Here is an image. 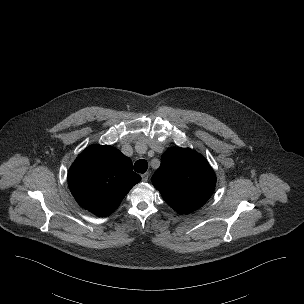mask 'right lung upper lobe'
<instances>
[{
    "mask_svg": "<svg viewBox=\"0 0 304 304\" xmlns=\"http://www.w3.org/2000/svg\"><path fill=\"white\" fill-rule=\"evenodd\" d=\"M140 180L130 158L107 145L87 147L68 173L69 188L78 204L99 216L113 213Z\"/></svg>",
    "mask_w": 304,
    "mask_h": 304,
    "instance_id": "right-lung-upper-lobe-1",
    "label": "right lung upper lobe"
}]
</instances>
